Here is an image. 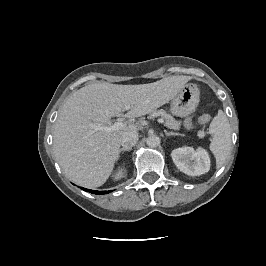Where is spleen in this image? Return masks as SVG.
<instances>
[{
    "mask_svg": "<svg viewBox=\"0 0 266 266\" xmlns=\"http://www.w3.org/2000/svg\"><path fill=\"white\" fill-rule=\"evenodd\" d=\"M209 133L212 135L210 150L215 156L217 167H221L231 149L230 124L223 111L220 110L212 120Z\"/></svg>",
    "mask_w": 266,
    "mask_h": 266,
    "instance_id": "obj_1",
    "label": "spleen"
}]
</instances>
